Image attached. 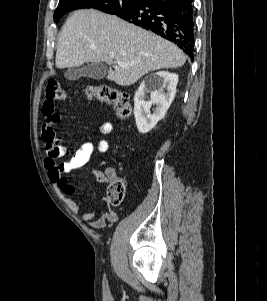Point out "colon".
Listing matches in <instances>:
<instances>
[{"label":"colon","instance_id":"obj_1","mask_svg":"<svg viewBox=\"0 0 267 301\" xmlns=\"http://www.w3.org/2000/svg\"><path fill=\"white\" fill-rule=\"evenodd\" d=\"M83 96L112 105L121 119H126L130 115L131 109L128 95L120 90L106 85L87 86L83 91ZM45 97L48 100L59 101L68 99L66 91L54 80L47 82ZM107 196L111 204H121L125 196V184L121 178L115 175L110 177Z\"/></svg>","mask_w":267,"mask_h":301}]
</instances>
